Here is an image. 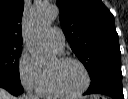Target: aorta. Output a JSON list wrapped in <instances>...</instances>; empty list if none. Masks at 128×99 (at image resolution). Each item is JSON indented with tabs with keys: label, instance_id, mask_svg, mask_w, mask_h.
I'll list each match as a JSON object with an SVG mask.
<instances>
[{
	"label": "aorta",
	"instance_id": "762f6f07",
	"mask_svg": "<svg viewBox=\"0 0 128 99\" xmlns=\"http://www.w3.org/2000/svg\"><path fill=\"white\" fill-rule=\"evenodd\" d=\"M57 15L58 10L53 5H42L33 12L26 44L36 63L42 67L50 65L56 60L55 52L46 42L44 31Z\"/></svg>",
	"mask_w": 128,
	"mask_h": 99
}]
</instances>
